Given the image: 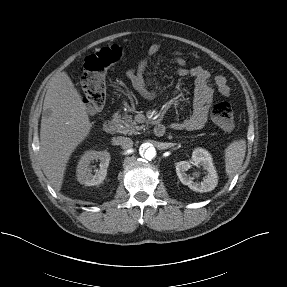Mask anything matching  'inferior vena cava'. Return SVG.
<instances>
[{"label":"inferior vena cava","mask_w":287,"mask_h":287,"mask_svg":"<svg viewBox=\"0 0 287 287\" xmlns=\"http://www.w3.org/2000/svg\"><path fill=\"white\" fill-rule=\"evenodd\" d=\"M115 143L120 145L123 149H130L133 147V141L130 138L118 136Z\"/></svg>","instance_id":"obj_1"}]
</instances>
